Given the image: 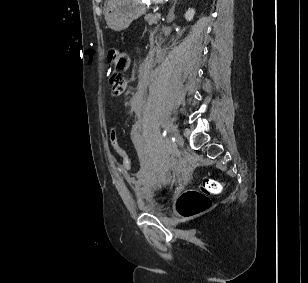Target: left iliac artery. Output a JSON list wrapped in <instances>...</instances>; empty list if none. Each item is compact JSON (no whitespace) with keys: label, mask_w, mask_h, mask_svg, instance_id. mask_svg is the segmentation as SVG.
Returning <instances> with one entry per match:
<instances>
[{"label":"left iliac artery","mask_w":308,"mask_h":283,"mask_svg":"<svg viewBox=\"0 0 308 283\" xmlns=\"http://www.w3.org/2000/svg\"><path fill=\"white\" fill-rule=\"evenodd\" d=\"M168 133H169V127H166L165 130H164V132H163V136L165 137ZM171 140H172L173 142H175V137H174L173 135H172Z\"/></svg>","instance_id":"44dca946"}]
</instances>
